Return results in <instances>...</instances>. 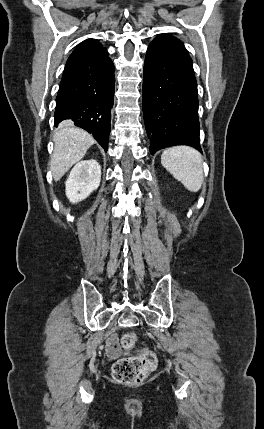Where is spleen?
<instances>
[{
    "instance_id": "obj_1",
    "label": "spleen",
    "mask_w": 264,
    "mask_h": 429,
    "mask_svg": "<svg viewBox=\"0 0 264 429\" xmlns=\"http://www.w3.org/2000/svg\"><path fill=\"white\" fill-rule=\"evenodd\" d=\"M163 167L184 187L192 192L200 190L204 177L202 156L189 146H174L163 151Z\"/></svg>"
}]
</instances>
